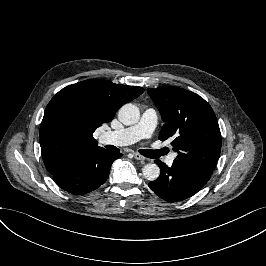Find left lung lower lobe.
Returning <instances> with one entry per match:
<instances>
[{
	"label": "left lung lower lobe",
	"mask_w": 266,
	"mask_h": 266,
	"mask_svg": "<svg viewBox=\"0 0 266 266\" xmlns=\"http://www.w3.org/2000/svg\"><path fill=\"white\" fill-rule=\"evenodd\" d=\"M161 174L149 187L169 202L185 200L196 194L210 179V172L185 162L175 161L171 167L160 160L155 161Z\"/></svg>",
	"instance_id": "0a47b994"
}]
</instances>
